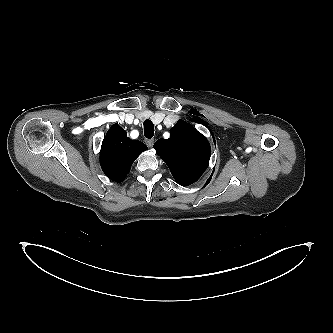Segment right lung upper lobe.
<instances>
[{"instance_id": "right-lung-upper-lobe-1", "label": "right lung upper lobe", "mask_w": 333, "mask_h": 333, "mask_svg": "<svg viewBox=\"0 0 333 333\" xmlns=\"http://www.w3.org/2000/svg\"><path fill=\"white\" fill-rule=\"evenodd\" d=\"M147 149L144 143L131 140L122 127L114 124L102 142L100 151L102 170L111 180L122 182L135 159Z\"/></svg>"}]
</instances>
